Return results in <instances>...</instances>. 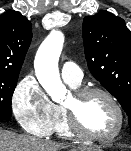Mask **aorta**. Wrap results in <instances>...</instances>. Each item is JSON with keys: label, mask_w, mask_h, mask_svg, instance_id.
I'll use <instances>...</instances> for the list:
<instances>
[{"label": "aorta", "mask_w": 131, "mask_h": 151, "mask_svg": "<svg viewBox=\"0 0 131 151\" xmlns=\"http://www.w3.org/2000/svg\"><path fill=\"white\" fill-rule=\"evenodd\" d=\"M63 36L59 31H52L38 49L35 57V72L39 83L57 101L66 92L62 84L58 61L62 51Z\"/></svg>", "instance_id": "1"}]
</instances>
